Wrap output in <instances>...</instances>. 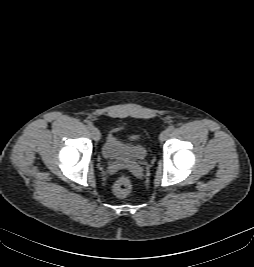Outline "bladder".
<instances>
[{
	"label": "bladder",
	"mask_w": 254,
	"mask_h": 267,
	"mask_svg": "<svg viewBox=\"0 0 254 267\" xmlns=\"http://www.w3.org/2000/svg\"><path fill=\"white\" fill-rule=\"evenodd\" d=\"M147 154L141 144L126 143L117 136V130L111 131L102 146V155L108 160H141Z\"/></svg>",
	"instance_id": "1"
}]
</instances>
